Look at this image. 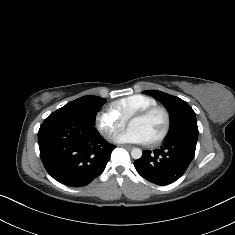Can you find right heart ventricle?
<instances>
[{"mask_svg":"<svg viewBox=\"0 0 235 235\" xmlns=\"http://www.w3.org/2000/svg\"><path fill=\"white\" fill-rule=\"evenodd\" d=\"M157 105L154 98L144 94H134L120 98L111 104L112 109L118 115L128 119L137 112Z\"/></svg>","mask_w":235,"mask_h":235,"instance_id":"right-heart-ventricle-1","label":"right heart ventricle"}]
</instances>
